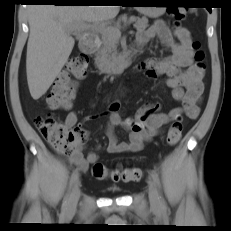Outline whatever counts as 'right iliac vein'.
<instances>
[{"label": "right iliac vein", "instance_id": "right-iliac-vein-1", "mask_svg": "<svg viewBox=\"0 0 231 231\" xmlns=\"http://www.w3.org/2000/svg\"><path fill=\"white\" fill-rule=\"evenodd\" d=\"M79 198H80V182L76 181V183L72 189V193H71V196L69 198L68 205H67L68 212H70V213L75 212Z\"/></svg>", "mask_w": 231, "mask_h": 231}]
</instances>
